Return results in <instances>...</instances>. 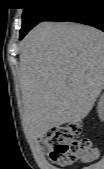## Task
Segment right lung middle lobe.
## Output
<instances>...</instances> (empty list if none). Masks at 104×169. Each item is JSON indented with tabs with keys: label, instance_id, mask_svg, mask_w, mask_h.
Returning <instances> with one entry per match:
<instances>
[{
	"label": "right lung middle lobe",
	"instance_id": "dd1d6c3e",
	"mask_svg": "<svg viewBox=\"0 0 104 169\" xmlns=\"http://www.w3.org/2000/svg\"><path fill=\"white\" fill-rule=\"evenodd\" d=\"M22 28L20 30V39H22L29 30L44 20V18L55 9L58 3L55 0H23Z\"/></svg>",
	"mask_w": 104,
	"mask_h": 169
}]
</instances>
